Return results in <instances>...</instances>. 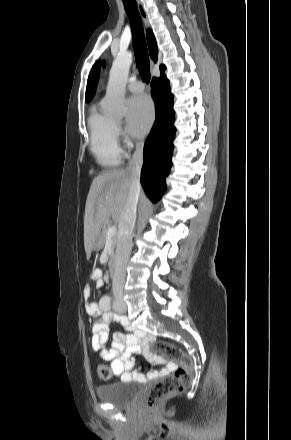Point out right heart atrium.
Wrapping results in <instances>:
<instances>
[{
	"label": "right heart atrium",
	"mask_w": 291,
	"mask_h": 440,
	"mask_svg": "<svg viewBox=\"0 0 291 440\" xmlns=\"http://www.w3.org/2000/svg\"><path fill=\"white\" fill-rule=\"evenodd\" d=\"M116 135H117L118 139L123 136V131H122L121 127L118 125H116Z\"/></svg>",
	"instance_id": "d8ad5b80"
}]
</instances>
